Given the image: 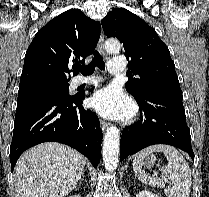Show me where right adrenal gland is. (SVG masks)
Listing matches in <instances>:
<instances>
[{"label": "right adrenal gland", "mask_w": 209, "mask_h": 197, "mask_svg": "<svg viewBox=\"0 0 209 197\" xmlns=\"http://www.w3.org/2000/svg\"><path fill=\"white\" fill-rule=\"evenodd\" d=\"M83 178H84V176L82 174L79 183H81V181L83 180Z\"/></svg>", "instance_id": "right-adrenal-gland-1"}]
</instances>
